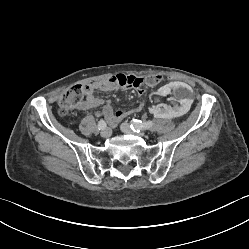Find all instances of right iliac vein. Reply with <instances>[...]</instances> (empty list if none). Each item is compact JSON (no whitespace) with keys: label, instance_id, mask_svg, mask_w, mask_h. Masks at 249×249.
Returning <instances> with one entry per match:
<instances>
[{"label":"right iliac vein","instance_id":"63e3f726","mask_svg":"<svg viewBox=\"0 0 249 249\" xmlns=\"http://www.w3.org/2000/svg\"><path fill=\"white\" fill-rule=\"evenodd\" d=\"M100 134H101V136H102L103 138H107V137L111 136L112 130H111L110 128H105V129H103V130L101 131Z\"/></svg>","mask_w":249,"mask_h":249}]
</instances>
